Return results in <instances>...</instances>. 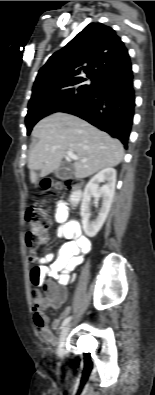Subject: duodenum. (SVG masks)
<instances>
[{
	"label": "duodenum",
	"mask_w": 155,
	"mask_h": 395,
	"mask_svg": "<svg viewBox=\"0 0 155 395\" xmlns=\"http://www.w3.org/2000/svg\"><path fill=\"white\" fill-rule=\"evenodd\" d=\"M81 196L82 194L80 190L74 191L70 198L72 204H77L81 200Z\"/></svg>",
	"instance_id": "obj_1"
}]
</instances>
